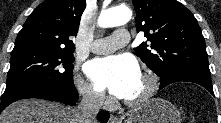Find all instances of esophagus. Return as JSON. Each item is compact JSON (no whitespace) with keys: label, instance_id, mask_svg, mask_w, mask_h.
<instances>
[{"label":"esophagus","instance_id":"1","mask_svg":"<svg viewBox=\"0 0 221 123\" xmlns=\"http://www.w3.org/2000/svg\"><path fill=\"white\" fill-rule=\"evenodd\" d=\"M109 122L110 123H119V119L116 116L111 115L110 119H109Z\"/></svg>","mask_w":221,"mask_h":123}]
</instances>
